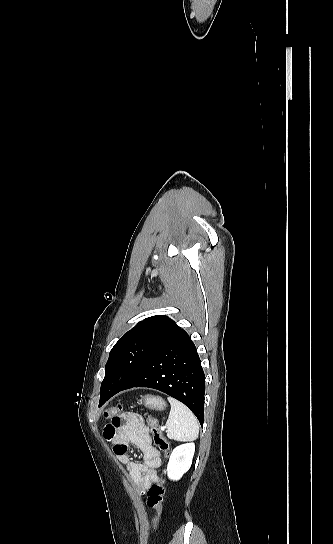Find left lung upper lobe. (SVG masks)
Masks as SVG:
<instances>
[{
    "label": "left lung upper lobe",
    "mask_w": 333,
    "mask_h": 544,
    "mask_svg": "<svg viewBox=\"0 0 333 544\" xmlns=\"http://www.w3.org/2000/svg\"><path fill=\"white\" fill-rule=\"evenodd\" d=\"M180 330L181 327L164 315L139 322L111 349L100 392H114L124 387Z\"/></svg>",
    "instance_id": "obj_1"
}]
</instances>
